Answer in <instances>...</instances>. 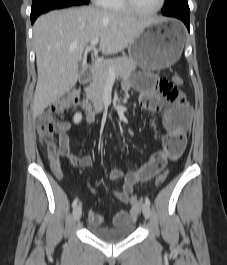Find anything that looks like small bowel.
Returning <instances> with one entry per match:
<instances>
[{"mask_svg":"<svg viewBox=\"0 0 227 265\" xmlns=\"http://www.w3.org/2000/svg\"><path fill=\"white\" fill-rule=\"evenodd\" d=\"M132 79H126L122 83V89L129 91L135 89L139 93L140 105L151 112H160L165 103L168 108L163 112L162 124L166 135L163 147L155 152L150 159L138 170L123 172L114 168L109 171L111 180L122 179L123 183L119 191L114 194L118 200L125 204L131 203V195L134 186L153 178L168 163L183 152L185 147V131L191 122V110L185 101V95L165 79H160L153 72H133ZM87 121L92 123L93 114H87ZM71 121H61L55 124L54 131L58 135V144L49 150L50 167L54 175L61 179L62 171L59 158H66L71 164L78 167H89L92 164L90 156H78L70 149L69 129ZM133 219V212L119 211L113 217L115 226L125 224ZM88 222L94 226H100L104 218L99 213L89 211Z\"/></svg>","mask_w":227,"mask_h":265,"instance_id":"1","label":"small bowel"}]
</instances>
